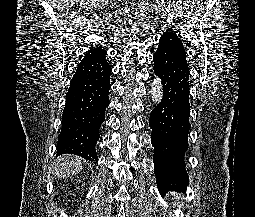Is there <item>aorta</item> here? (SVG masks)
I'll list each match as a JSON object with an SVG mask.
<instances>
[{
	"label": "aorta",
	"instance_id": "1",
	"mask_svg": "<svg viewBox=\"0 0 255 217\" xmlns=\"http://www.w3.org/2000/svg\"><path fill=\"white\" fill-rule=\"evenodd\" d=\"M151 99L154 104H159L163 98V86L161 79L159 77H155L151 84L150 90Z\"/></svg>",
	"mask_w": 255,
	"mask_h": 217
}]
</instances>
